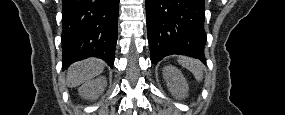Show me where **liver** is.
Listing matches in <instances>:
<instances>
[{
    "label": "liver",
    "mask_w": 285,
    "mask_h": 115,
    "mask_svg": "<svg viewBox=\"0 0 285 115\" xmlns=\"http://www.w3.org/2000/svg\"><path fill=\"white\" fill-rule=\"evenodd\" d=\"M105 63L100 59L90 58L71 65L67 71L66 84L70 88L91 80L102 73Z\"/></svg>",
    "instance_id": "1"
}]
</instances>
